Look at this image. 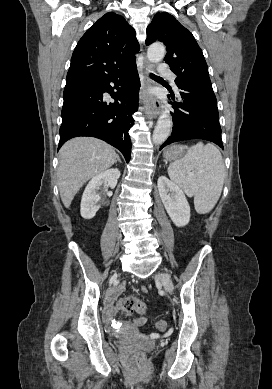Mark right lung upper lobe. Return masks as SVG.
<instances>
[{
    "mask_svg": "<svg viewBox=\"0 0 272 389\" xmlns=\"http://www.w3.org/2000/svg\"><path fill=\"white\" fill-rule=\"evenodd\" d=\"M135 30L120 15L106 13L76 45L66 83L92 80L135 62Z\"/></svg>",
    "mask_w": 272,
    "mask_h": 389,
    "instance_id": "right-lung-upper-lobe-1",
    "label": "right lung upper lobe"
}]
</instances>
